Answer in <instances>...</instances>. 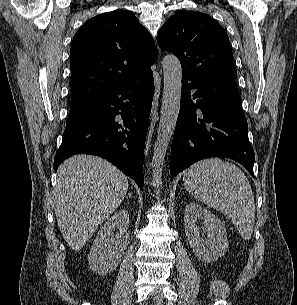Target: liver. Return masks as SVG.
Returning a JSON list of instances; mask_svg holds the SVG:
<instances>
[{
	"instance_id": "obj_1",
	"label": "liver",
	"mask_w": 297,
	"mask_h": 305,
	"mask_svg": "<svg viewBox=\"0 0 297 305\" xmlns=\"http://www.w3.org/2000/svg\"><path fill=\"white\" fill-rule=\"evenodd\" d=\"M128 187L126 175L100 157L75 155L59 166L54 211L73 250L81 249L120 206Z\"/></svg>"
}]
</instances>
